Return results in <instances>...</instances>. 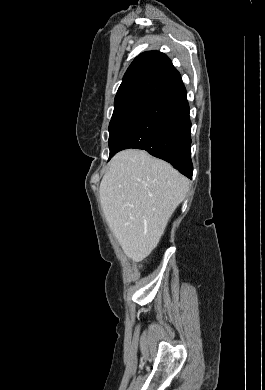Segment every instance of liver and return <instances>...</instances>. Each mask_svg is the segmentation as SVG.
<instances>
[{"instance_id":"1","label":"liver","mask_w":265,"mask_h":390,"mask_svg":"<svg viewBox=\"0 0 265 390\" xmlns=\"http://www.w3.org/2000/svg\"><path fill=\"white\" fill-rule=\"evenodd\" d=\"M189 180L146 151L127 149L110 162L99 188L107 223L126 256L145 259L157 246Z\"/></svg>"}]
</instances>
